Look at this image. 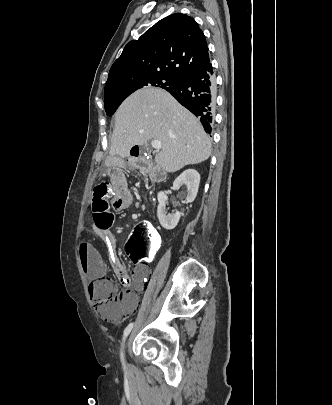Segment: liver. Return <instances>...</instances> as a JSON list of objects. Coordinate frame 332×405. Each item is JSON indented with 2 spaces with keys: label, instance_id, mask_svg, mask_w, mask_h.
Segmentation results:
<instances>
[{
  "label": "liver",
  "instance_id": "6515ba94",
  "mask_svg": "<svg viewBox=\"0 0 332 405\" xmlns=\"http://www.w3.org/2000/svg\"><path fill=\"white\" fill-rule=\"evenodd\" d=\"M150 140L161 142L155 162L169 173L211 155V140L199 120L168 92L156 88L135 92L117 109L107 163H118L133 146Z\"/></svg>",
  "mask_w": 332,
  "mask_h": 405
}]
</instances>
